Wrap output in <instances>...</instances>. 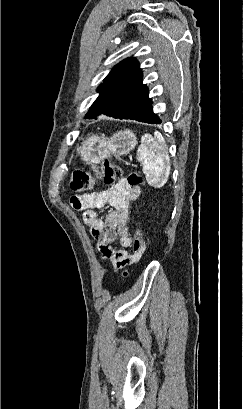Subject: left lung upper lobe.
<instances>
[{
  "label": "left lung upper lobe",
  "mask_w": 243,
  "mask_h": 409,
  "mask_svg": "<svg viewBox=\"0 0 243 409\" xmlns=\"http://www.w3.org/2000/svg\"><path fill=\"white\" fill-rule=\"evenodd\" d=\"M98 91L100 95L86 118L93 119L105 112L120 115L128 106H133L148 96V88L142 84V71L135 58H128L115 66L98 87Z\"/></svg>",
  "instance_id": "5c2ea615"
}]
</instances>
